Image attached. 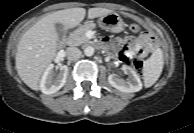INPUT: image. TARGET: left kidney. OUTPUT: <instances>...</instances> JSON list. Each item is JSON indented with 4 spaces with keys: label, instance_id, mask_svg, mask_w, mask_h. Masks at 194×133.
<instances>
[{
    "label": "left kidney",
    "instance_id": "left-kidney-1",
    "mask_svg": "<svg viewBox=\"0 0 194 133\" xmlns=\"http://www.w3.org/2000/svg\"><path fill=\"white\" fill-rule=\"evenodd\" d=\"M122 70L128 75L127 79L124 80L114 74H110L108 76L109 84L121 92L132 93L140 91L142 83L135 70L127 65H123Z\"/></svg>",
    "mask_w": 194,
    "mask_h": 133
}]
</instances>
